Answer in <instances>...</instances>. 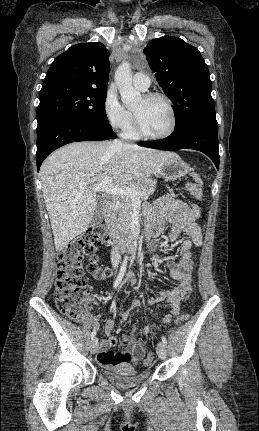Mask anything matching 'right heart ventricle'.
<instances>
[{
  "instance_id": "right-heart-ventricle-1",
  "label": "right heart ventricle",
  "mask_w": 259,
  "mask_h": 431,
  "mask_svg": "<svg viewBox=\"0 0 259 431\" xmlns=\"http://www.w3.org/2000/svg\"><path fill=\"white\" fill-rule=\"evenodd\" d=\"M124 136L128 139H137L139 136L136 134L133 123H131L125 130Z\"/></svg>"
}]
</instances>
